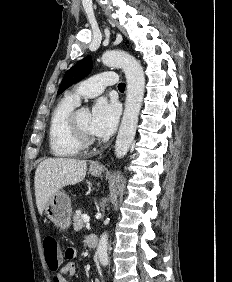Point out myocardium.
Returning a JSON list of instances; mask_svg holds the SVG:
<instances>
[{
    "label": "myocardium",
    "mask_w": 232,
    "mask_h": 282,
    "mask_svg": "<svg viewBox=\"0 0 232 282\" xmlns=\"http://www.w3.org/2000/svg\"><path fill=\"white\" fill-rule=\"evenodd\" d=\"M82 108L76 107L68 116V128L74 141L81 147H87L95 142L92 135L87 134L80 126L78 121V114Z\"/></svg>",
    "instance_id": "f54148a6"
}]
</instances>
